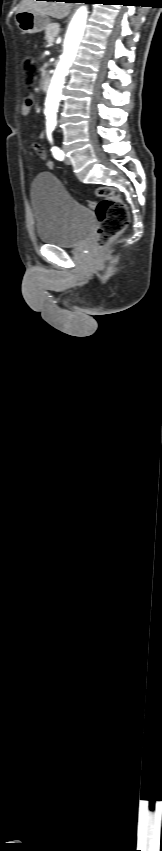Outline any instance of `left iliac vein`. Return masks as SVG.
<instances>
[{
    "instance_id": "left-iliac-vein-1",
    "label": "left iliac vein",
    "mask_w": 162,
    "mask_h": 851,
    "mask_svg": "<svg viewBox=\"0 0 162 851\" xmlns=\"http://www.w3.org/2000/svg\"><path fill=\"white\" fill-rule=\"evenodd\" d=\"M64 162H65V164H67V165H70V164H71V160H70V158H69V157H67V156H65V157H64Z\"/></svg>"
}]
</instances>
